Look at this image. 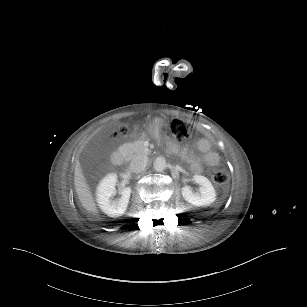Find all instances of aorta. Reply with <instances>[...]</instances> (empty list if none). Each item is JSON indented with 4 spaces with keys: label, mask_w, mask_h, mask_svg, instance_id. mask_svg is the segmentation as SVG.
<instances>
[{
    "label": "aorta",
    "mask_w": 307,
    "mask_h": 307,
    "mask_svg": "<svg viewBox=\"0 0 307 307\" xmlns=\"http://www.w3.org/2000/svg\"><path fill=\"white\" fill-rule=\"evenodd\" d=\"M166 164L164 157H157L153 162V168L157 172H162L166 168Z\"/></svg>",
    "instance_id": "1"
}]
</instances>
